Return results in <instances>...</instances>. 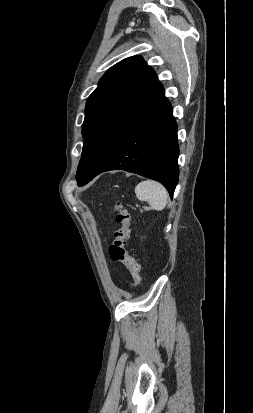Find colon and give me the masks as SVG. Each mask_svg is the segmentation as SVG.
Returning a JSON list of instances; mask_svg holds the SVG:
<instances>
[{
	"mask_svg": "<svg viewBox=\"0 0 253 413\" xmlns=\"http://www.w3.org/2000/svg\"><path fill=\"white\" fill-rule=\"evenodd\" d=\"M114 211L119 228L115 231L114 240L109 246V255L113 261L126 265L133 280L131 288H137L141 284L140 265L125 249L130 237V214L120 202L114 204Z\"/></svg>",
	"mask_w": 253,
	"mask_h": 413,
	"instance_id": "colon-1",
	"label": "colon"
}]
</instances>
